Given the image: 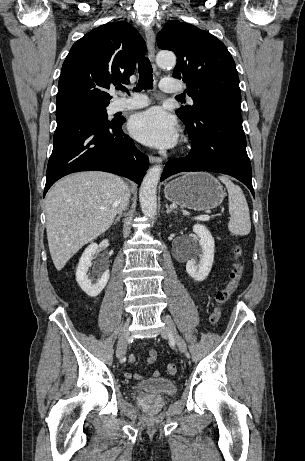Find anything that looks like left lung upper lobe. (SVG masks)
<instances>
[{"mask_svg": "<svg viewBox=\"0 0 305 461\" xmlns=\"http://www.w3.org/2000/svg\"><path fill=\"white\" fill-rule=\"evenodd\" d=\"M160 49L171 50L177 56L173 77L187 85L193 106L179 108L176 113L191 121L211 105L241 103L239 77L235 62L226 46L207 31L170 21L157 35Z\"/></svg>", "mask_w": 305, "mask_h": 461, "instance_id": "5c2ea615", "label": "left lung upper lobe"}]
</instances>
